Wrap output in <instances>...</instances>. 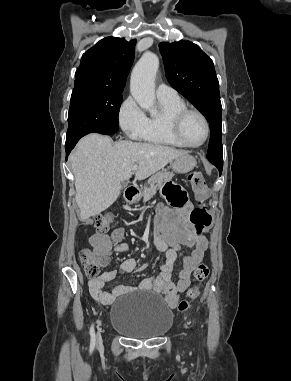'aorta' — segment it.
<instances>
[{
  "label": "aorta",
  "instance_id": "1",
  "mask_svg": "<svg viewBox=\"0 0 291 381\" xmlns=\"http://www.w3.org/2000/svg\"><path fill=\"white\" fill-rule=\"evenodd\" d=\"M159 68L156 54L146 52L133 68L130 91L138 105L150 114H155V76Z\"/></svg>",
  "mask_w": 291,
  "mask_h": 381
}]
</instances>
